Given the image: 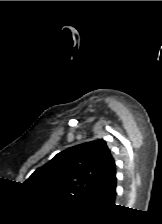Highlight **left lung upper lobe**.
<instances>
[{
    "mask_svg": "<svg viewBox=\"0 0 162 224\" xmlns=\"http://www.w3.org/2000/svg\"><path fill=\"white\" fill-rule=\"evenodd\" d=\"M114 172L115 162L105 141L95 140L58 153L25 183L53 194L85 199Z\"/></svg>",
    "mask_w": 162,
    "mask_h": 224,
    "instance_id": "1",
    "label": "left lung upper lobe"
}]
</instances>
